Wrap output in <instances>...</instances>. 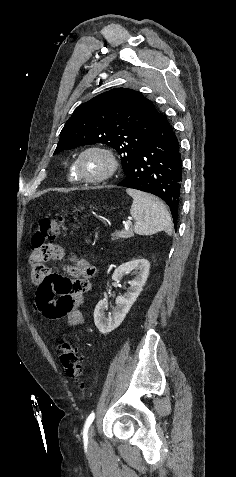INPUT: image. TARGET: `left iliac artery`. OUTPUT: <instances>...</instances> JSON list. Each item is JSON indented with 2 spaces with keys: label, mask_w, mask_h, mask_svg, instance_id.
Here are the masks:
<instances>
[{
  "label": "left iliac artery",
  "mask_w": 236,
  "mask_h": 477,
  "mask_svg": "<svg viewBox=\"0 0 236 477\" xmlns=\"http://www.w3.org/2000/svg\"><path fill=\"white\" fill-rule=\"evenodd\" d=\"M95 418V413L92 412L88 418L86 419V422H85V425H84V429H83V439H84V442H88V430H89V427L90 425L92 424L93 420Z\"/></svg>",
  "instance_id": "44dca946"
}]
</instances>
